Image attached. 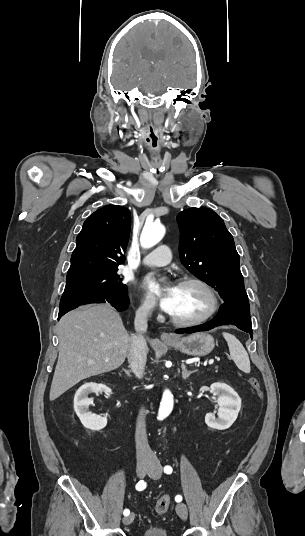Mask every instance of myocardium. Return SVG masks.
I'll return each mask as SVG.
<instances>
[{
    "label": "myocardium",
    "instance_id": "1",
    "mask_svg": "<svg viewBox=\"0 0 305 536\" xmlns=\"http://www.w3.org/2000/svg\"><path fill=\"white\" fill-rule=\"evenodd\" d=\"M185 284H196L204 288L211 296L212 298V308L211 310L204 316L199 318H185L177 316L173 313H169V316L171 320L177 324L185 325V326H198L205 324L212 320L220 311L222 300L219 292L217 289L210 284L208 281L195 277V276H187L183 277L178 285H185Z\"/></svg>",
    "mask_w": 305,
    "mask_h": 536
}]
</instances>
